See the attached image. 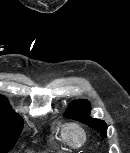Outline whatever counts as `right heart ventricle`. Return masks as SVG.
Returning a JSON list of instances; mask_svg holds the SVG:
<instances>
[{
    "label": "right heart ventricle",
    "instance_id": "obj_1",
    "mask_svg": "<svg viewBox=\"0 0 130 153\" xmlns=\"http://www.w3.org/2000/svg\"><path fill=\"white\" fill-rule=\"evenodd\" d=\"M58 135H59L60 140H61L64 144L71 146V145L68 143L67 139H66V135H65V132H64V127H61V128H60V130L58 131Z\"/></svg>",
    "mask_w": 130,
    "mask_h": 153
}]
</instances>
